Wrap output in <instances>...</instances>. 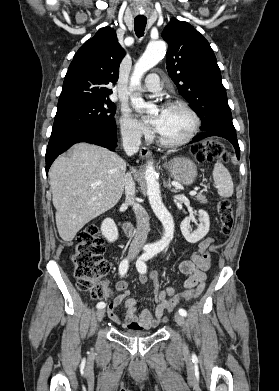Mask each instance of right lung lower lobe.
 I'll list each match as a JSON object with an SVG mask.
<instances>
[{"label": "right lung lower lobe", "instance_id": "98d812e1", "mask_svg": "<svg viewBox=\"0 0 279 391\" xmlns=\"http://www.w3.org/2000/svg\"><path fill=\"white\" fill-rule=\"evenodd\" d=\"M78 142L93 143L114 150L117 143L115 121L52 133L46 150V173L58 155Z\"/></svg>", "mask_w": 279, "mask_h": 391}]
</instances>
